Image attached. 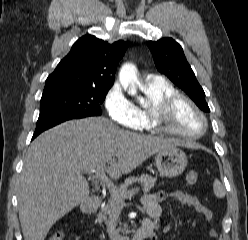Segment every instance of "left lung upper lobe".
Segmentation results:
<instances>
[{"label": "left lung upper lobe", "mask_w": 248, "mask_h": 240, "mask_svg": "<svg viewBox=\"0 0 248 240\" xmlns=\"http://www.w3.org/2000/svg\"><path fill=\"white\" fill-rule=\"evenodd\" d=\"M156 68L165 74L173 83L184 90L197 106L205 111L210 109L205 101V93L192 71L182 47L172 38L149 41Z\"/></svg>", "instance_id": "1"}]
</instances>
